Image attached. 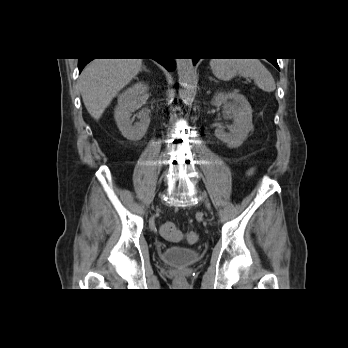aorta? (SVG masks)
<instances>
[{"mask_svg": "<svg viewBox=\"0 0 348 348\" xmlns=\"http://www.w3.org/2000/svg\"><path fill=\"white\" fill-rule=\"evenodd\" d=\"M176 67L179 76V97L187 103L192 99L196 74L192 59H176Z\"/></svg>", "mask_w": 348, "mask_h": 348, "instance_id": "762f6f07", "label": "aorta"}]
</instances>
